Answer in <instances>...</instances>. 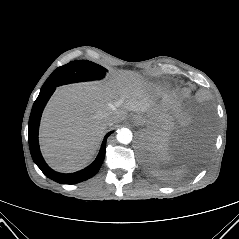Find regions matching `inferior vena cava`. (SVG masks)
Returning <instances> with one entry per match:
<instances>
[{
  "mask_svg": "<svg viewBox=\"0 0 239 239\" xmlns=\"http://www.w3.org/2000/svg\"><path fill=\"white\" fill-rule=\"evenodd\" d=\"M102 118L106 123H111L115 120L116 116L113 113H105L102 115Z\"/></svg>",
  "mask_w": 239,
  "mask_h": 239,
  "instance_id": "602c4592",
  "label": "inferior vena cava"
}]
</instances>
